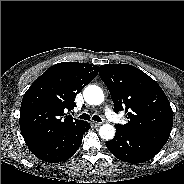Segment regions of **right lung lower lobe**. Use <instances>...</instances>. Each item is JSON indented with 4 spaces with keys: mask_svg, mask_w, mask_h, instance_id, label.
Wrapping results in <instances>:
<instances>
[{
    "mask_svg": "<svg viewBox=\"0 0 184 184\" xmlns=\"http://www.w3.org/2000/svg\"><path fill=\"white\" fill-rule=\"evenodd\" d=\"M88 122L79 129L65 135L54 136L36 144L28 145L30 151L39 159L57 163L70 158L81 145L83 134L90 129Z\"/></svg>",
    "mask_w": 184,
    "mask_h": 184,
    "instance_id": "1",
    "label": "right lung lower lobe"
}]
</instances>
